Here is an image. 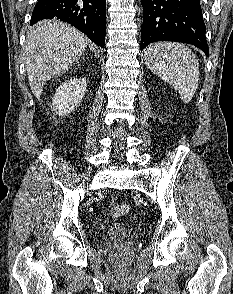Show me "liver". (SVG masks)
I'll list each match as a JSON object with an SVG mask.
<instances>
[{
    "mask_svg": "<svg viewBox=\"0 0 233 294\" xmlns=\"http://www.w3.org/2000/svg\"><path fill=\"white\" fill-rule=\"evenodd\" d=\"M88 45L74 27L55 20L35 25L26 39L25 66L34 96L41 97L45 82L63 73L84 53Z\"/></svg>",
    "mask_w": 233,
    "mask_h": 294,
    "instance_id": "obj_1",
    "label": "liver"
}]
</instances>
